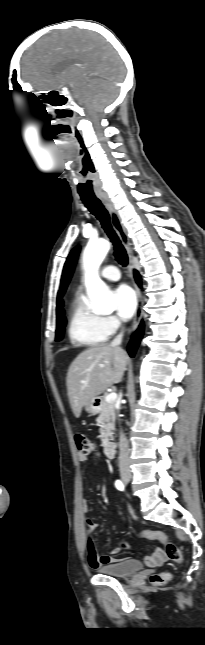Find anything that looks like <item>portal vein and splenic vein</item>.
I'll return each instance as SVG.
<instances>
[{
	"label": "portal vein and splenic vein",
	"instance_id": "18ae733b",
	"mask_svg": "<svg viewBox=\"0 0 205 645\" xmlns=\"http://www.w3.org/2000/svg\"><path fill=\"white\" fill-rule=\"evenodd\" d=\"M117 398V394L115 392L110 393L109 395L106 396V401L108 402H114Z\"/></svg>",
	"mask_w": 205,
	"mask_h": 645
}]
</instances>
